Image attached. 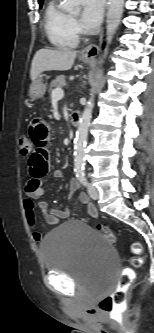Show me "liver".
<instances>
[{
	"label": "liver",
	"mask_w": 154,
	"mask_h": 333,
	"mask_svg": "<svg viewBox=\"0 0 154 333\" xmlns=\"http://www.w3.org/2000/svg\"><path fill=\"white\" fill-rule=\"evenodd\" d=\"M77 51L59 49H40L34 55L31 64L30 77L34 81L44 71H65L74 64Z\"/></svg>",
	"instance_id": "1"
}]
</instances>
